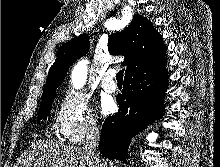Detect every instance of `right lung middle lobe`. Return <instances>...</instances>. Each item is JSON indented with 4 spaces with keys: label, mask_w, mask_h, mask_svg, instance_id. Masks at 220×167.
<instances>
[{
    "label": "right lung middle lobe",
    "mask_w": 220,
    "mask_h": 167,
    "mask_svg": "<svg viewBox=\"0 0 220 167\" xmlns=\"http://www.w3.org/2000/svg\"><path fill=\"white\" fill-rule=\"evenodd\" d=\"M55 95H52L46 99H44L40 104V110H39V116L38 120L46 119L48 112L50 110L51 104L53 102V99L55 98Z\"/></svg>",
    "instance_id": "dd1d6c3e"
}]
</instances>
